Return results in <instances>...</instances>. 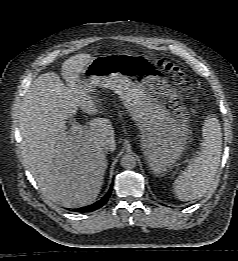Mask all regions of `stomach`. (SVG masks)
<instances>
[{"mask_svg": "<svg viewBox=\"0 0 238 261\" xmlns=\"http://www.w3.org/2000/svg\"><path fill=\"white\" fill-rule=\"evenodd\" d=\"M79 83L91 93L113 90L136 122L151 171L163 174L182 156L189 129L176 91L161 71L142 57L107 54L86 66Z\"/></svg>", "mask_w": 238, "mask_h": 261, "instance_id": "0dacf381", "label": "stomach"}]
</instances>
